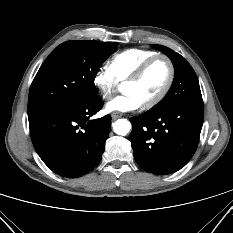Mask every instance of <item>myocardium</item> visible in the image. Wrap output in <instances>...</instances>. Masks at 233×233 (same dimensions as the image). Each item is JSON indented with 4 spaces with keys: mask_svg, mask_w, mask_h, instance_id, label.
<instances>
[{
    "mask_svg": "<svg viewBox=\"0 0 233 233\" xmlns=\"http://www.w3.org/2000/svg\"><path fill=\"white\" fill-rule=\"evenodd\" d=\"M158 59H164L166 60V62L168 63V67H169V76L167 79V82L164 86V88L162 89V91L159 93L158 96H156L154 99H152L151 101H148L146 103H143V107L145 109H150L153 108L155 106H157L159 103H161L164 98L167 96V94L169 93L174 79H175V67H174V63L173 61L165 54H156L150 58H148L147 60H145L134 72L133 74L128 77L125 81L124 84L127 83H136L138 82L141 77L143 76V74L145 73V71L147 70V68L156 60Z\"/></svg>",
    "mask_w": 233,
    "mask_h": 233,
    "instance_id": "1",
    "label": "myocardium"
}]
</instances>
